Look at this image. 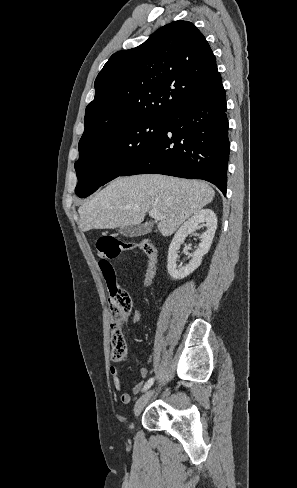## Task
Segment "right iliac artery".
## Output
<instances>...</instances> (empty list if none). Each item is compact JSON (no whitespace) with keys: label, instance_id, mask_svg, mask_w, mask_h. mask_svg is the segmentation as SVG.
<instances>
[{"label":"right iliac artery","instance_id":"1","mask_svg":"<svg viewBox=\"0 0 297 488\" xmlns=\"http://www.w3.org/2000/svg\"><path fill=\"white\" fill-rule=\"evenodd\" d=\"M154 382V378H150L144 385L143 391H146L148 388L152 386Z\"/></svg>","mask_w":297,"mask_h":488}]
</instances>
